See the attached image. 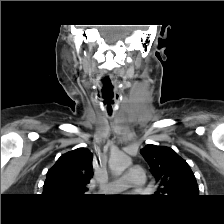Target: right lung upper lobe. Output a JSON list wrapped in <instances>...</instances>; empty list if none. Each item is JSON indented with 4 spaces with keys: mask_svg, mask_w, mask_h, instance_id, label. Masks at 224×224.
Returning <instances> with one entry per match:
<instances>
[{
    "mask_svg": "<svg viewBox=\"0 0 224 224\" xmlns=\"http://www.w3.org/2000/svg\"><path fill=\"white\" fill-rule=\"evenodd\" d=\"M93 154L87 148H78L62 155L47 172L43 194L84 195L92 173Z\"/></svg>",
    "mask_w": 224,
    "mask_h": 224,
    "instance_id": "cb5924a9",
    "label": "right lung upper lobe"
}]
</instances>
